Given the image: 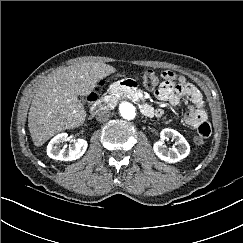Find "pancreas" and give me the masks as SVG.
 <instances>
[{
	"mask_svg": "<svg viewBox=\"0 0 243 243\" xmlns=\"http://www.w3.org/2000/svg\"><path fill=\"white\" fill-rule=\"evenodd\" d=\"M117 98L115 96H108L107 98V105L108 107H113L117 104Z\"/></svg>",
	"mask_w": 243,
	"mask_h": 243,
	"instance_id": "cf45deb5",
	"label": "pancreas"
}]
</instances>
